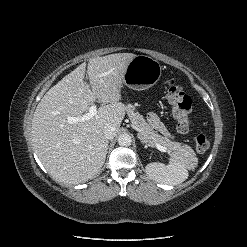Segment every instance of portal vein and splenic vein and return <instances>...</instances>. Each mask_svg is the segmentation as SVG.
Returning <instances> with one entry per match:
<instances>
[{"label":"portal vein and splenic vein","instance_id":"18ae733b","mask_svg":"<svg viewBox=\"0 0 247 247\" xmlns=\"http://www.w3.org/2000/svg\"><path fill=\"white\" fill-rule=\"evenodd\" d=\"M96 113H97V108H96L95 105H92V106L89 107L88 112L86 114H84L83 116H81L79 118H72L71 119V122H78V121L89 120L91 117H93L94 115H96ZM155 146L161 152H167V148H165L164 146H162L160 144H155Z\"/></svg>","mask_w":247,"mask_h":247}]
</instances>
